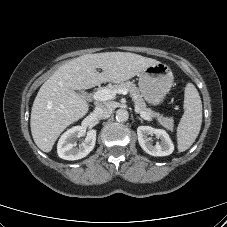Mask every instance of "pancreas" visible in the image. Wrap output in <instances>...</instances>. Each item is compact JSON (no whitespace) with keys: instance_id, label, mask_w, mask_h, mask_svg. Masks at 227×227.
<instances>
[{"instance_id":"cf45deb5","label":"pancreas","mask_w":227,"mask_h":227,"mask_svg":"<svg viewBox=\"0 0 227 227\" xmlns=\"http://www.w3.org/2000/svg\"><path fill=\"white\" fill-rule=\"evenodd\" d=\"M110 89L113 90H127V92L132 97L133 101L135 102V108L139 110V112L147 113L151 118H157L158 122L165 127L166 129L173 131L174 129V120L173 118L163 117L157 112H154L150 108L146 107V103L142 98V95L139 89L130 81L122 82L120 84L110 86Z\"/></svg>"}]
</instances>
